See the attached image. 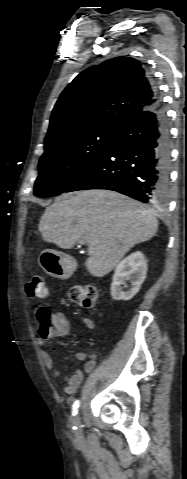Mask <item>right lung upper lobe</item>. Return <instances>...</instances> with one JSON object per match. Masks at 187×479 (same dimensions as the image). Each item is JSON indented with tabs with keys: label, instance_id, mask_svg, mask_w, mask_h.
<instances>
[{
	"label": "right lung upper lobe",
	"instance_id": "cb5924a9",
	"mask_svg": "<svg viewBox=\"0 0 187 479\" xmlns=\"http://www.w3.org/2000/svg\"><path fill=\"white\" fill-rule=\"evenodd\" d=\"M159 100L141 63L117 57L82 71L61 93L45 144L69 132L95 126L121 129Z\"/></svg>",
	"mask_w": 187,
	"mask_h": 479
}]
</instances>
